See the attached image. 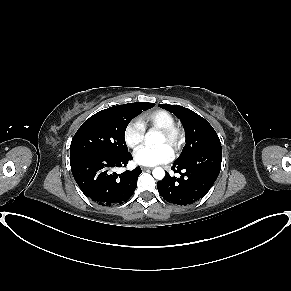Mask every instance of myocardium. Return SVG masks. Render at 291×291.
<instances>
[{"label": "myocardium", "mask_w": 291, "mask_h": 291, "mask_svg": "<svg viewBox=\"0 0 291 291\" xmlns=\"http://www.w3.org/2000/svg\"><path fill=\"white\" fill-rule=\"evenodd\" d=\"M160 133L166 138L167 145L171 147L173 151L179 150L184 142V132L182 128L176 124L161 129Z\"/></svg>", "instance_id": "1"}]
</instances>
